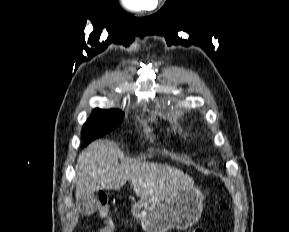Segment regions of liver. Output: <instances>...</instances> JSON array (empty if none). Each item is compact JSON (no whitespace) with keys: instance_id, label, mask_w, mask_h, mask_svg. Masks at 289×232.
<instances>
[{"instance_id":"1","label":"liver","mask_w":289,"mask_h":232,"mask_svg":"<svg viewBox=\"0 0 289 232\" xmlns=\"http://www.w3.org/2000/svg\"><path fill=\"white\" fill-rule=\"evenodd\" d=\"M121 151L110 140L92 142L78 157L76 200L102 189H120L127 181L135 194L150 203H160L194 186L192 177L177 168L146 162L119 164Z\"/></svg>"}]
</instances>
